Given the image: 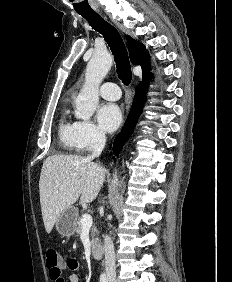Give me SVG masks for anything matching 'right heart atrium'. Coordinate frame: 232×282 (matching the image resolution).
Here are the masks:
<instances>
[{
	"label": "right heart atrium",
	"instance_id": "right-heart-atrium-1",
	"mask_svg": "<svg viewBox=\"0 0 232 282\" xmlns=\"http://www.w3.org/2000/svg\"><path fill=\"white\" fill-rule=\"evenodd\" d=\"M75 140L79 150L89 151L102 145L105 136L94 123L77 121L75 123Z\"/></svg>",
	"mask_w": 232,
	"mask_h": 282
}]
</instances>
